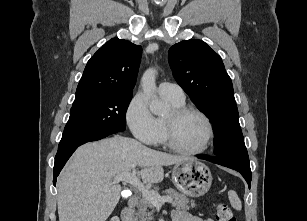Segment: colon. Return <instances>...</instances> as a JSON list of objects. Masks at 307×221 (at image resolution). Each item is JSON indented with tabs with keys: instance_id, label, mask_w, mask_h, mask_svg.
Here are the masks:
<instances>
[{
	"instance_id": "obj_1",
	"label": "colon",
	"mask_w": 307,
	"mask_h": 221,
	"mask_svg": "<svg viewBox=\"0 0 307 221\" xmlns=\"http://www.w3.org/2000/svg\"><path fill=\"white\" fill-rule=\"evenodd\" d=\"M215 215L218 221H236L231 207L226 203L220 202L216 204Z\"/></svg>"
}]
</instances>
